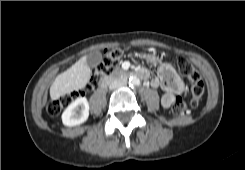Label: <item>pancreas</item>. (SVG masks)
I'll list each match as a JSON object with an SVG mask.
<instances>
[{
    "instance_id": "obj_1",
    "label": "pancreas",
    "mask_w": 245,
    "mask_h": 170,
    "mask_svg": "<svg viewBox=\"0 0 245 170\" xmlns=\"http://www.w3.org/2000/svg\"><path fill=\"white\" fill-rule=\"evenodd\" d=\"M124 72L122 71V70H116V71H114L112 74H111V76L113 77V76H115V75H117V74H123Z\"/></svg>"
}]
</instances>
